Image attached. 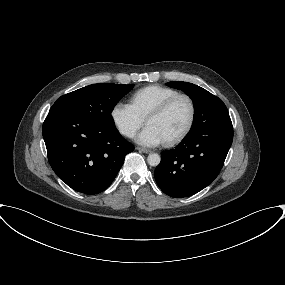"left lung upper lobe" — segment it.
I'll list each match as a JSON object with an SVG mask.
<instances>
[{
	"mask_svg": "<svg viewBox=\"0 0 285 285\" xmlns=\"http://www.w3.org/2000/svg\"><path fill=\"white\" fill-rule=\"evenodd\" d=\"M166 85L184 91L194 103V121L189 133L212 127H232L228 110L218 97L188 82H168Z\"/></svg>",
	"mask_w": 285,
	"mask_h": 285,
	"instance_id": "left-lung-upper-lobe-1",
	"label": "left lung upper lobe"
}]
</instances>
